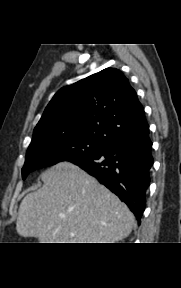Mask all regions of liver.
Masks as SVG:
<instances>
[{
	"label": "liver",
	"instance_id": "liver-1",
	"mask_svg": "<svg viewBox=\"0 0 181 288\" xmlns=\"http://www.w3.org/2000/svg\"><path fill=\"white\" fill-rule=\"evenodd\" d=\"M41 179L42 188L20 204V236L40 243H115L131 233L135 219L129 208L78 166L60 162Z\"/></svg>",
	"mask_w": 181,
	"mask_h": 288
}]
</instances>
